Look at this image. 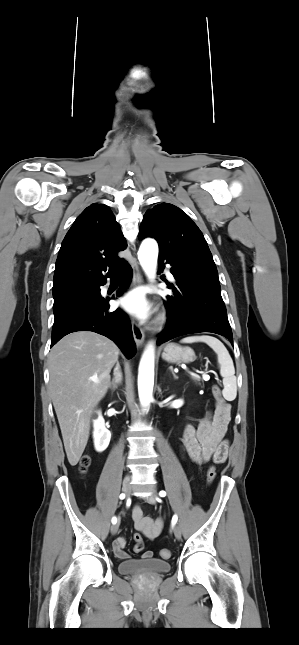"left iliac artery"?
<instances>
[{"label":"left iliac artery","instance_id":"1","mask_svg":"<svg viewBox=\"0 0 299 645\" xmlns=\"http://www.w3.org/2000/svg\"><path fill=\"white\" fill-rule=\"evenodd\" d=\"M159 496H160V497H165V496H166V492H165V491H163V490H162V491H160V492H159ZM177 520H178L177 515H174V516H173V518H172V525H175V523L177 522Z\"/></svg>","mask_w":299,"mask_h":645}]
</instances>
